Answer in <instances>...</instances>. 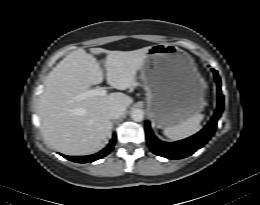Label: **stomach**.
<instances>
[{
	"instance_id": "0dacf381",
	"label": "stomach",
	"mask_w": 260,
	"mask_h": 205,
	"mask_svg": "<svg viewBox=\"0 0 260 205\" xmlns=\"http://www.w3.org/2000/svg\"><path fill=\"white\" fill-rule=\"evenodd\" d=\"M140 77L148 114L158 128L179 125L204 109V79L194 59L179 47L169 43L149 47Z\"/></svg>"
}]
</instances>
